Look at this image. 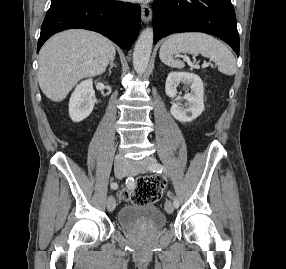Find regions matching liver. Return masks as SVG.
I'll return each mask as SVG.
<instances>
[{
    "mask_svg": "<svg viewBox=\"0 0 286 269\" xmlns=\"http://www.w3.org/2000/svg\"><path fill=\"white\" fill-rule=\"evenodd\" d=\"M115 54L113 43L98 33L81 29L58 33L40 50L39 86L52 101H62L78 81L104 73Z\"/></svg>",
    "mask_w": 286,
    "mask_h": 269,
    "instance_id": "obj_1",
    "label": "liver"
}]
</instances>
